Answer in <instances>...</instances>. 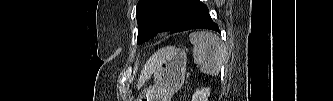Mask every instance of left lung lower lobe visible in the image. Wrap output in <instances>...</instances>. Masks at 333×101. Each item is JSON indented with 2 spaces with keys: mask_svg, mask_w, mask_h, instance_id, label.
<instances>
[{
  "mask_svg": "<svg viewBox=\"0 0 333 101\" xmlns=\"http://www.w3.org/2000/svg\"><path fill=\"white\" fill-rule=\"evenodd\" d=\"M185 15L179 21L177 32L190 29H211L220 32L208 13V8L199 0H178Z\"/></svg>",
  "mask_w": 333,
  "mask_h": 101,
  "instance_id": "obj_1",
  "label": "left lung lower lobe"
}]
</instances>
